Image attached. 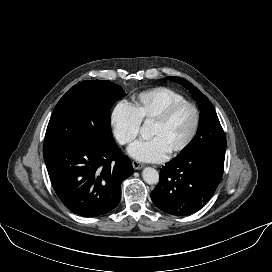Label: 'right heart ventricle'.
I'll return each mask as SVG.
<instances>
[{
  "label": "right heart ventricle",
  "instance_id": "1",
  "mask_svg": "<svg viewBox=\"0 0 272 272\" xmlns=\"http://www.w3.org/2000/svg\"><path fill=\"white\" fill-rule=\"evenodd\" d=\"M181 101H186L182 94L161 86L137 94L131 106L142 123L151 121L168 106Z\"/></svg>",
  "mask_w": 272,
  "mask_h": 272
}]
</instances>
